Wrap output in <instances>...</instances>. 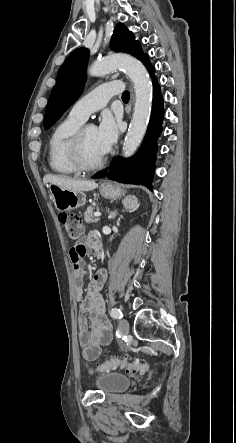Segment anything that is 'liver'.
Instances as JSON below:
<instances>
[{
  "label": "liver",
  "mask_w": 236,
  "mask_h": 443,
  "mask_svg": "<svg viewBox=\"0 0 236 443\" xmlns=\"http://www.w3.org/2000/svg\"><path fill=\"white\" fill-rule=\"evenodd\" d=\"M44 184L50 183L55 184L64 189L72 191H90L97 187L94 181L90 180H75L67 178L65 176H57L52 174H47L43 178Z\"/></svg>",
  "instance_id": "liver-1"
}]
</instances>
